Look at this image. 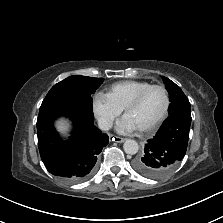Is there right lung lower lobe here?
I'll list each match as a JSON object with an SVG mask.
<instances>
[{"label": "right lung lower lobe", "instance_id": "98d812e1", "mask_svg": "<svg viewBox=\"0 0 223 223\" xmlns=\"http://www.w3.org/2000/svg\"><path fill=\"white\" fill-rule=\"evenodd\" d=\"M69 117L74 123L70 140L64 142L54 129V121ZM92 107L67 98L40 109L37 119L38 147L46 169L68 183L90 177L97 157L109 142L107 134L93 123Z\"/></svg>", "mask_w": 223, "mask_h": 223}]
</instances>
